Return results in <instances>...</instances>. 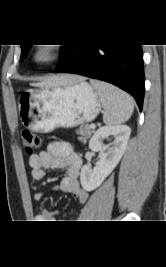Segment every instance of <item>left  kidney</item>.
I'll return each mask as SVG.
<instances>
[{"instance_id": "left-kidney-1", "label": "left kidney", "mask_w": 166, "mask_h": 267, "mask_svg": "<svg viewBox=\"0 0 166 267\" xmlns=\"http://www.w3.org/2000/svg\"><path fill=\"white\" fill-rule=\"evenodd\" d=\"M130 134L131 129L126 125L105 126L95 132L89 148L99 152V160L93 169L88 165L82 167L80 181L84 190L96 189L114 170L126 150ZM110 136L114 138L113 142L104 145L103 140Z\"/></svg>"}]
</instances>
